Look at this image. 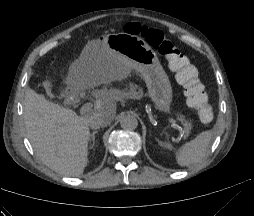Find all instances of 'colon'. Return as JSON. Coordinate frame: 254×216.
<instances>
[{
    "instance_id": "colon-1",
    "label": "colon",
    "mask_w": 254,
    "mask_h": 216,
    "mask_svg": "<svg viewBox=\"0 0 254 216\" xmlns=\"http://www.w3.org/2000/svg\"><path fill=\"white\" fill-rule=\"evenodd\" d=\"M125 30L144 38L167 59L169 67L176 72L177 80L184 86L188 104L194 109L198 120L202 123L211 122L213 110L197 78L196 70L175 44L167 39L165 33L137 23L127 24Z\"/></svg>"
}]
</instances>
